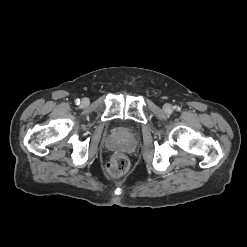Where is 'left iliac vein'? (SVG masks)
Here are the masks:
<instances>
[{"label": "left iliac vein", "mask_w": 247, "mask_h": 247, "mask_svg": "<svg viewBox=\"0 0 247 247\" xmlns=\"http://www.w3.org/2000/svg\"><path fill=\"white\" fill-rule=\"evenodd\" d=\"M163 109L166 113H171L173 108H172V105L171 104H168L166 103L164 106H163Z\"/></svg>", "instance_id": "4c4485c4"}]
</instances>
